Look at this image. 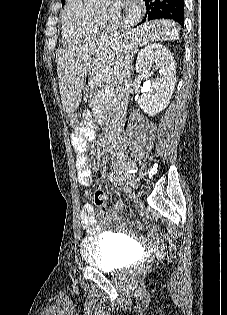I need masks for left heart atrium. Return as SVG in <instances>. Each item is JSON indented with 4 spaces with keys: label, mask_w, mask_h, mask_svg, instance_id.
<instances>
[{
    "label": "left heart atrium",
    "mask_w": 227,
    "mask_h": 315,
    "mask_svg": "<svg viewBox=\"0 0 227 315\" xmlns=\"http://www.w3.org/2000/svg\"><path fill=\"white\" fill-rule=\"evenodd\" d=\"M128 0H115V3L118 5H124L127 3Z\"/></svg>",
    "instance_id": "obj_1"
}]
</instances>
